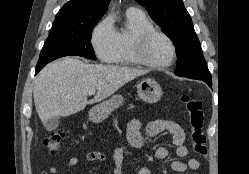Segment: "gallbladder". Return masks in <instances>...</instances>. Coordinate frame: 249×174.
Returning <instances> with one entry per match:
<instances>
[{
    "instance_id": "gallbladder-1",
    "label": "gallbladder",
    "mask_w": 249,
    "mask_h": 174,
    "mask_svg": "<svg viewBox=\"0 0 249 174\" xmlns=\"http://www.w3.org/2000/svg\"><path fill=\"white\" fill-rule=\"evenodd\" d=\"M59 125V117H52L44 123V127L47 131L56 129Z\"/></svg>"
}]
</instances>
